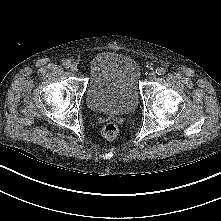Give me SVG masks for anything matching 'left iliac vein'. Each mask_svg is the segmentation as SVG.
Segmentation results:
<instances>
[{
  "label": "left iliac vein",
  "instance_id": "left-iliac-vein-1",
  "mask_svg": "<svg viewBox=\"0 0 221 221\" xmlns=\"http://www.w3.org/2000/svg\"><path fill=\"white\" fill-rule=\"evenodd\" d=\"M156 77H157V73H156L155 71H151V72L149 73V79L155 80Z\"/></svg>",
  "mask_w": 221,
  "mask_h": 221
}]
</instances>
